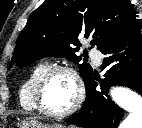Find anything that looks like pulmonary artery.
I'll return each instance as SVG.
<instances>
[{
	"mask_svg": "<svg viewBox=\"0 0 142 128\" xmlns=\"http://www.w3.org/2000/svg\"><path fill=\"white\" fill-rule=\"evenodd\" d=\"M90 56L92 58V60L94 61L95 64H99L100 60H101V54L98 50L96 49H91L90 50Z\"/></svg>",
	"mask_w": 142,
	"mask_h": 128,
	"instance_id": "e3ab8cb5",
	"label": "pulmonary artery"
}]
</instances>
